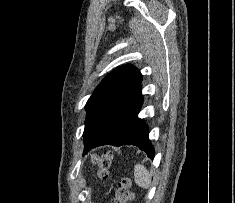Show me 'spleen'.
Instances as JSON below:
<instances>
[{"mask_svg":"<svg viewBox=\"0 0 235 203\" xmlns=\"http://www.w3.org/2000/svg\"><path fill=\"white\" fill-rule=\"evenodd\" d=\"M135 183L141 187L148 189L151 183V175L142 164H136L134 167Z\"/></svg>","mask_w":235,"mask_h":203,"instance_id":"1","label":"spleen"}]
</instances>
